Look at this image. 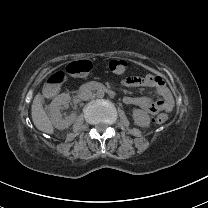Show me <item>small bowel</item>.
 Instances as JSON below:
<instances>
[{
    "instance_id": "small-bowel-1",
    "label": "small bowel",
    "mask_w": 208,
    "mask_h": 208,
    "mask_svg": "<svg viewBox=\"0 0 208 208\" xmlns=\"http://www.w3.org/2000/svg\"><path fill=\"white\" fill-rule=\"evenodd\" d=\"M123 84L128 87L153 88L161 97L158 101H151L144 97L128 96L125 98L126 104L140 107L153 115L160 112H170L173 109L174 99L163 78L153 75L130 76L123 80Z\"/></svg>"
}]
</instances>
